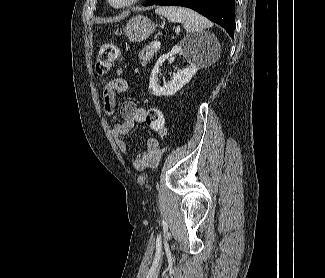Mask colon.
Here are the masks:
<instances>
[{"instance_id":"1","label":"colon","mask_w":325,"mask_h":278,"mask_svg":"<svg viewBox=\"0 0 325 278\" xmlns=\"http://www.w3.org/2000/svg\"><path fill=\"white\" fill-rule=\"evenodd\" d=\"M119 58L120 50L115 44H103L96 60L97 73L106 74ZM145 122L153 130L162 131L165 127V116L159 108L152 107L146 113Z\"/></svg>"}]
</instances>
